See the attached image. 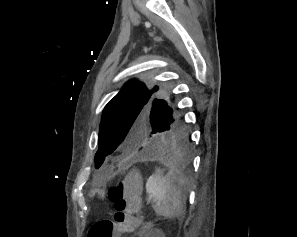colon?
I'll return each mask as SVG.
<instances>
[{"label": "colon", "mask_w": 297, "mask_h": 237, "mask_svg": "<svg viewBox=\"0 0 297 237\" xmlns=\"http://www.w3.org/2000/svg\"><path fill=\"white\" fill-rule=\"evenodd\" d=\"M108 198L115 210L114 217L94 223L87 237H119L139 226L140 220L135 216L140 203V178L137 174H127L119 184L110 187Z\"/></svg>", "instance_id": "1"}]
</instances>
